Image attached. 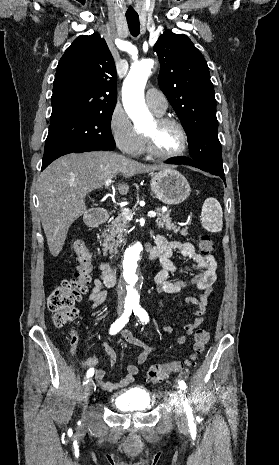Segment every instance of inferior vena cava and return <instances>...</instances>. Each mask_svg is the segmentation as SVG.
<instances>
[{
	"mask_svg": "<svg viewBox=\"0 0 279 465\" xmlns=\"http://www.w3.org/2000/svg\"><path fill=\"white\" fill-rule=\"evenodd\" d=\"M118 300H122V293L120 292L119 286L117 288Z\"/></svg>",
	"mask_w": 279,
	"mask_h": 465,
	"instance_id": "602c4592",
	"label": "inferior vena cava"
}]
</instances>
